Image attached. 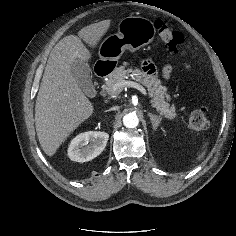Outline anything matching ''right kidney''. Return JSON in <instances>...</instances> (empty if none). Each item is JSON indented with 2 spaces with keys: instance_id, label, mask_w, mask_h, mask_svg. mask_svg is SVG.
<instances>
[{
  "instance_id": "right-kidney-1",
  "label": "right kidney",
  "mask_w": 236,
  "mask_h": 236,
  "mask_svg": "<svg viewBox=\"0 0 236 236\" xmlns=\"http://www.w3.org/2000/svg\"><path fill=\"white\" fill-rule=\"evenodd\" d=\"M109 135L105 132H84L76 136L68 148L72 161L87 162L97 157L106 147Z\"/></svg>"
}]
</instances>
